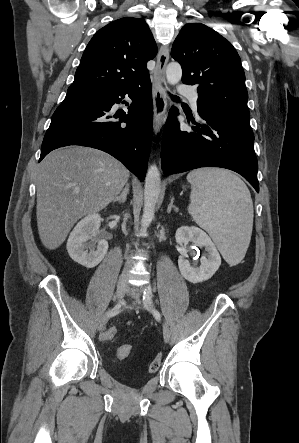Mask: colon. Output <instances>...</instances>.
<instances>
[{"instance_id":"obj_1","label":"colon","mask_w":299,"mask_h":443,"mask_svg":"<svg viewBox=\"0 0 299 443\" xmlns=\"http://www.w3.org/2000/svg\"><path fill=\"white\" fill-rule=\"evenodd\" d=\"M117 334V329L115 327H109L104 330V332L101 335L102 341H109L113 339ZM132 353V346L131 345H123L118 350V358L120 360H126L130 357ZM162 358L161 355H156L150 362L148 370L150 372H156L160 366H161Z\"/></svg>"}]
</instances>
